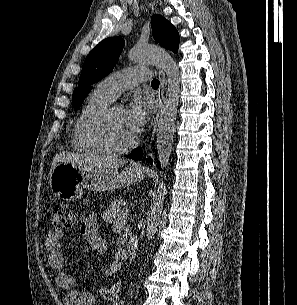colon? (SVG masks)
Masks as SVG:
<instances>
[{
	"mask_svg": "<svg viewBox=\"0 0 297 305\" xmlns=\"http://www.w3.org/2000/svg\"><path fill=\"white\" fill-rule=\"evenodd\" d=\"M76 224V215L72 207L66 202L54 205L52 227L58 230H70Z\"/></svg>",
	"mask_w": 297,
	"mask_h": 305,
	"instance_id": "5ec220e1",
	"label": "colon"
}]
</instances>
